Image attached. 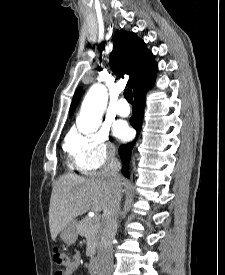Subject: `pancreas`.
Segmentation results:
<instances>
[{"label":"pancreas","instance_id":"cf45deb5","mask_svg":"<svg viewBox=\"0 0 225 275\" xmlns=\"http://www.w3.org/2000/svg\"><path fill=\"white\" fill-rule=\"evenodd\" d=\"M100 222L95 218H85L77 225V232L87 240V256H93L98 244Z\"/></svg>","mask_w":225,"mask_h":275}]
</instances>
